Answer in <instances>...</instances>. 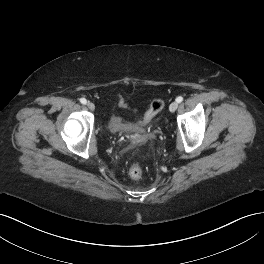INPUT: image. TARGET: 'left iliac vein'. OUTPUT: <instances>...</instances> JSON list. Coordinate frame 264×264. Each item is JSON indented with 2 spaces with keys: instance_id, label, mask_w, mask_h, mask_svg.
I'll return each instance as SVG.
<instances>
[{
  "instance_id": "4c4485c4",
  "label": "left iliac vein",
  "mask_w": 264,
  "mask_h": 264,
  "mask_svg": "<svg viewBox=\"0 0 264 264\" xmlns=\"http://www.w3.org/2000/svg\"><path fill=\"white\" fill-rule=\"evenodd\" d=\"M177 108H178V102L177 101L172 102L169 106L170 112H175Z\"/></svg>"
}]
</instances>
